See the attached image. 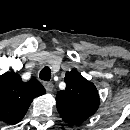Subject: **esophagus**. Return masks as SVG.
<instances>
[{
    "mask_svg": "<svg viewBox=\"0 0 130 130\" xmlns=\"http://www.w3.org/2000/svg\"><path fill=\"white\" fill-rule=\"evenodd\" d=\"M43 85H44V87H45V89H46L47 91H52L53 88H54V85H53L52 82H44Z\"/></svg>",
    "mask_w": 130,
    "mask_h": 130,
    "instance_id": "34e87169",
    "label": "esophagus"
}]
</instances>
